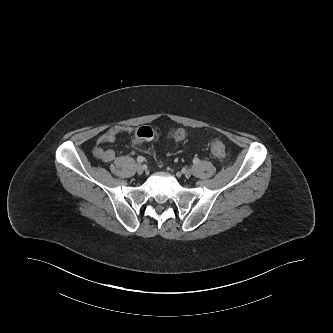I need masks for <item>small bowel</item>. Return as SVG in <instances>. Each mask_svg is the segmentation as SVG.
I'll return each mask as SVG.
<instances>
[{"mask_svg":"<svg viewBox=\"0 0 333 333\" xmlns=\"http://www.w3.org/2000/svg\"><path fill=\"white\" fill-rule=\"evenodd\" d=\"M133 127L130 126H114L102 134L93 148V155L99 160L109 163L114 160L115 152L112 149H106L104 146L115 141L122 134H132Z\"/></svg>","mask_w":333,"mask_h":333,"instance_id":"small-bowel-1","label":"small bowel"}]
</instances>
